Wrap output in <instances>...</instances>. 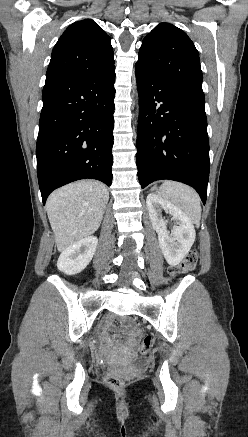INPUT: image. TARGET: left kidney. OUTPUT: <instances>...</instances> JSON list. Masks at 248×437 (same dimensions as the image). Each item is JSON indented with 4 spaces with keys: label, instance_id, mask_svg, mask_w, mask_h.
I'll return each instance as SVG.
<instances>
[{
    "label": "left kidney",
    "instance_id": "1",
    "mask_svg": "<svg viewBox=\"0 0 248 437\" xmlns=\"http://www.w3.org/2000/svg\"><path fill=\"white\" fill-rule=\"evenodd\" d=\"M146 204L164 258L169 265L179 264L195 241L196 233L192 221L179 208L157 194H148ZM163 210L176 222L171 234L166 227L167 221L162 217Z\"/></svg>",
    "mask_w": 248,
    "mask_h": 437
}]
</instances>
